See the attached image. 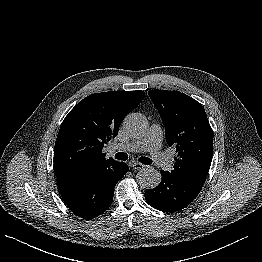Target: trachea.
<instances>
[{
  "label": "trachea",
  "instance_id": "obj_1",
  "mask_svg": "<svg viewBox=\"0 0 262 262\" xmlns=\"http://www.w3.org/2000/svg\"><path fill=\"white\" fill-rule=\"evenodd\" d=\"M115 158L117 160L125 161V160L128 159V155L124 152H118V153L115 154ZM138 161L145 164V165L152 164V160L150 158H147V157H140L138 159Z\"/></svg>",
  "mask_w": 262,
  "mask_h": 262
}]
</instances>
